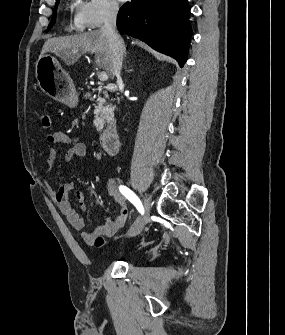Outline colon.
Masks as SVG:
<instances>
[{
    "mask_svg": "<svg viewBox=\"0 0 285 335\" xmlns=\"http://www.w3.org/2000/svg\"><path fill=\"white\" fill-rule=\"evenodd\" d=\"M39 120L42 128L49 129L51 127V117L46 110H41L39 113ZM107 242L104 236H98L94 240L96 247H102Z\"/></svg>",
    "mask_w": 285,
    "mask_h": 335,
    "instance_id": "5ec220e1",
    "label": "colon"
}]
</instances>
